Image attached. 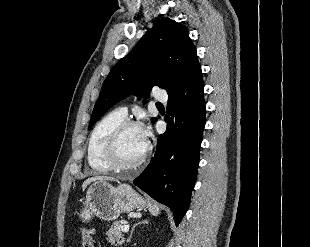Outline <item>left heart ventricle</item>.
Wrapping results in <instances>:
<instances>
[{
	"mask_svg": "<svg viewBox=\"0 0 310 247\" xmlns=\"http://www.w3.org/2000/svg\"><path fill=\"white\" fill-rule=\"evenodd\" d=\"M147 147V138L140 128L127 129L120 138L118 145L119 160L124 165L138 161Z\"/></svg>",
	"mask_w": 310,
	"mask_h": 247,
	"instance_id": "b2bd125f",
	"label": "left heart ventricle"
}]
</instances>
